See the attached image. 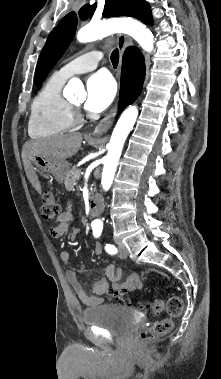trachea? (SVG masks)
Returning <instances> with one entry per match:
<instances>
[{
	"mask_svg": "<svg viewBox=\"0 0 221 379\" xmlns=\"http://www.w3.org/2000/svg\"><path fill=\"white\" fill-rule=\"evenodd\" d=\"M119 61V51L115 49L111 54V62L114 68L117 67Z\"/></svg>",
	"mask_w": 221,
	"mask_h": 379,
	"instance_id": "trachea-1",
	"label": "trachea"
}]
</instances>
